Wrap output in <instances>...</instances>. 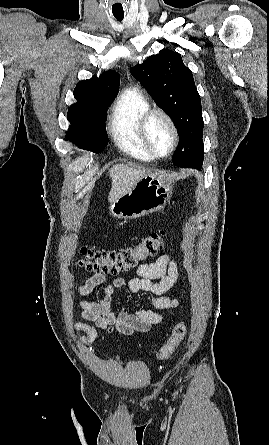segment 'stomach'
Masks as SVG:
<instances>
[{"instance_id": "0dacf381", "label": "stomach", "mask_w": 269, "mask_h": 445, "mask_svg": "<svg viewBox=\"0 0 269 445\" xmlns=\"http://www.w3.org/2000/svg\"><path fill=\"white\" fill-rule=\"evenodd\" d=\"M174 187V179L157 172L143 176L130 190L111 202L109 213L115 218L137 219L162 210Z\"/></svg>"}]
</instances>
